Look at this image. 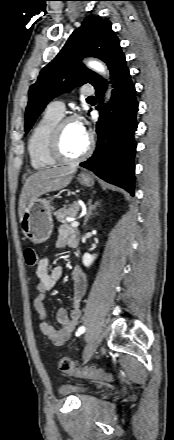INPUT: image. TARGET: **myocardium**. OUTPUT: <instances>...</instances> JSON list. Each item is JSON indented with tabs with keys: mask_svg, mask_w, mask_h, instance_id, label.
<instances>
[{
	"mask_svg": "<svg viewBox=\"0 0 174 440\" xmlns=\"http://www.w3.org/2000/svg\"><path fill=\"white\" fill-rule=\"evenodd\" d=\"M75 119L73 117H65L60 119L54 126L51 136H50V142H49V153L50 156L60 164H76L86 157L89 156V154L92 151L93 148V137L91 135L88 136V142L85 150L78 156L70 158L67 157L62 150V132L64 126L69 123L73 122Z\"/></svg>",
	"mask_w": 174,
	"mask_h": 440,
	"instance_id": "f54148a6",
	"label": "myocardium"
}]
</instances>
